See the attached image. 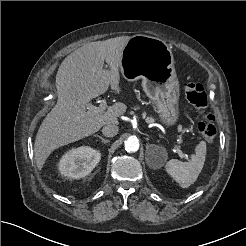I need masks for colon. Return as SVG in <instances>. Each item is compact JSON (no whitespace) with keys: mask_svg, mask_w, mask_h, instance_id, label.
<instances>
[{"mask_svg":"<svg viewBox=\"0 0 246 246\" xmlns=\"http://www.w3.org/2000/svg\"><path fill=\"white\" fill-rule=\"evenodd\" d=\"M184 91L188 101L200 111L197 118V131L205 140H211L216 129L213 116L207 112L208 96L204 86L197 82H186Z\"/></svg>","mask_w":246,"mask_h":246,"instance_id":"5ec220e1","label":"colon"}]
</instances>
